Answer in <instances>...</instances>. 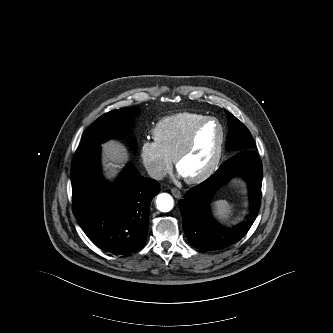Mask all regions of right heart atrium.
Listing matches in <instances>:
<instances>
[{"instance_id": "1", "label": "right heart atrium", "mask_w": 333, "mask_h": 333, "mask_svg": "<svg viewBox=\"0 0 333 333\" xmlns=\"http://www.w3.org/2000/svg\"><path fill=\"white\" fill-rule=\"evenodd\" d=\"M140 156L148 174L154 179H162L172 168V160L153 141L142 142Z\"/></svg>"}]
</instances>
